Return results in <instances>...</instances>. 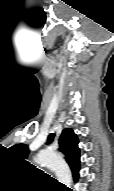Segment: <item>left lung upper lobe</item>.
Listing matches in <instances>:
<instances>
[{"label":"left lung upper lobe","mask_w":114,"mask_h":191,"mask_svg":"<svg viewBox=\"0 0 114 191\" xmlns=\"http://www.w3.org/2000/svg\"><path fill=\"white\" fill-rule=\"evenodd\" d=\"M54 134H50L48 137V143H51ZM12 153L18 158L24 160L27 158L29 150L25 144H16L11 148ZM59 150L64 154L71 169L79 165L80 163V151L78 148V138L70 128L64 129L59 138Z\"/></svg>","instance_id":"left-lung-upper-lobe-1"}]
</instances>
